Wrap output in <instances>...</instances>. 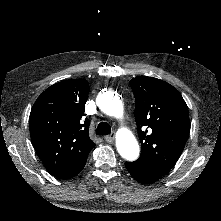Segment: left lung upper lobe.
<instances>
[{
    "instance_id": "obj_1",
    "label": "left lung upper lobe",
    "mask_w": 221,
    "mask_h": 221,
    "mask_svg": "<svg viewBox=\"0 0 221 221\" xmlns=\"http://www.w3.org/2000/svg\"><path fill=\"white\" fill-rule=\"evenodd\" d=\"M130 84L142 145L137 162L162 177L175 165L187 141L190 132L187 104L181 94L163 80L138 76Z\"/></svg>"
}]
</instances>
